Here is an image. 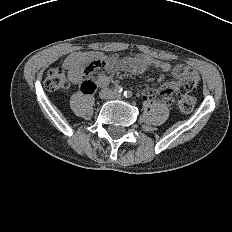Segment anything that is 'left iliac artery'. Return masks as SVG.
Wrapping results in <instances>:
<instances>
[{
    "instance_id": "left-iliac-artery-1",
    "label": "left iliac artery",
    "mask_w": 232,
    "mask_h": 232,
    "mask_svg": "<svg viewBox=\"0 0 232 232\" xmlns=\"http://www.w3.org/2000/svg\"><path fill=\"white\" fill-rule=\"evenodd\" d=\"M124 96H125L126 98H130V97L132 96V93H131L130 91H125V92H124Z\"/></svg>"
}]
</instances>
